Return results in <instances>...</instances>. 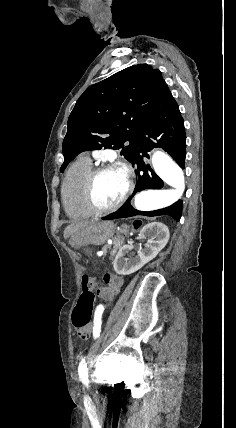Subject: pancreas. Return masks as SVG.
<instances>
[{
	"mask_svg": "<svg viewBox=\"0 0 236 428\" xmlns=\"http://www.w3.org/2000/svg\"><path fill=\"white\" fill-rule=\"evenodd\" d=\"M119 240H122L121 236H119V238H113V246H103L102 248V252L104 254V256H106L108 250H110V260H112V258H114L119 246H118V242Z\"/></svg>",
	"mask_w": 236,
	"mask_h": 428,
	"instance_id": "cf45deb5",
	"label": "pancreas"
}]
</instances>
